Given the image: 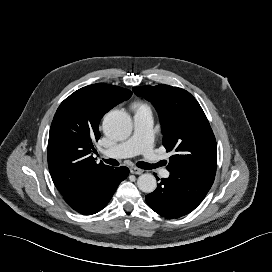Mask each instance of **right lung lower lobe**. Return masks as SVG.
<instances>
[{
    "mask_svg": "<svg viewBox=\"0 0 272 272\" xmlns=\"http://www.w3.org/2000/svg\"><path fill=\"white\" fill-rule=\"evenodd\" d=\"M128 174L129 169L125 166L111 168L104 175L85 184L80 191L64 196V200L81 214H95L107 205L120 182Z\"/></svg>",
    "mask_w": 272,
    "mask_h": 272,
    "instance_id": "obj_1",
    "label": "right lung lower lobe"
}]
</instances>
